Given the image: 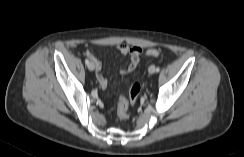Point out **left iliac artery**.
Listing matches in <instances>:
<instances>
[{"label": "left iliac artery", "instance_id": "44dca946", "mask_svg": "<svg viewBox=\"0 0 244 157\" xmlns=\"http://www.w3.org/2000/svg\"><path fill=\"white\" fill-rule=\"evenodd\" d=\"M159 71H160L159 67L155 68V72H159Z\"/></svg>", "mask_w": 244, "mask_h": 157}]
</instances>
